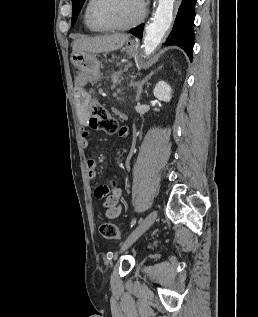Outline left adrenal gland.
<instances>
[{
	"label": "left adrenal gland",
	"instance_id": "1",
	"mask_svg": "<svg viewBox=\"0 0 258 317\" xmlns=\"http://www.w3.org/2000/svg\"><path fill=\"white\" fill-rule=\"evenodd\" d=\"M152 74H153V70H152V72H150V74H147V76H145V78H143V80H141V82H135V84L137 86L135 100H139V98L141 96V92L143 90V84H146V82H148V80H149V78H151Z\"/></svg>",
	"mask_w": 258,
	"mask_h": 317
}]
</instances>
